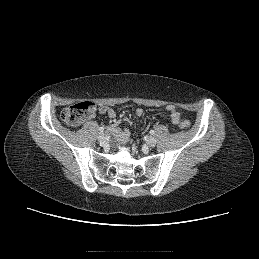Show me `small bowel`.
<instances>
[{
    "instance_id": "1",
    "label": "small bowel",
    "mask_w": 259,
    "mask_h": 259,
    "mask_svg": "<svg viewBox=\"0 0 259 259\" xmlns=\"http://www.w3.org/2000/svg\"><path fill=\"white\" fill-rule=\"evenodd\" d=\"M165 110L168 113V117L173 124H177L179 121V113L174 105L168 104L165 106ZM100 113L106 114L109 118L116 117V111L110 107H101ZM136 116L140 117L143 115L142 108L135 109ZM110 131L120 142H127L129 140V133L127 130L122 129L117 122L110 126Z\"/></svg>"
}]
</instances>
